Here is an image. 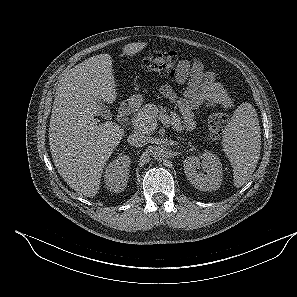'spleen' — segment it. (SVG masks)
I'll list each match as a JSON object with an SVG mask.
<instances>
[{"label": "spleen", "instance_id": "3e777b00", "mask_svg": "<svg viewBox=\"0 0 297 297\" xmlns=\"http://www.w3.org/2000/svg\"><path fill=\"white\" fill-rule=\"evenodd\" d=\"M260 126L255 108L242 103L234 111L226 128L222 147L233 168L234 186H243L257 166L260 149Z\"/></svg>", "mask_w": 297, "mask_h": 297}]
</instances>
